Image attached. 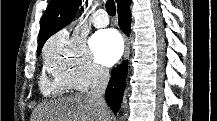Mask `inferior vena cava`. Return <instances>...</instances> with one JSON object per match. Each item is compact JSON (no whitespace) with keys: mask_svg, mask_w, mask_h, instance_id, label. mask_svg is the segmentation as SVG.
<instances>
[{"mask_svg":"<svg viewBox=\"0 0 217 121\" xmlns=\"http://www.w3.org/2000/svg\"><path fill=\"white\" fill-rule=\"evenodd\" d=\"M109 78L110 74L108 69L99 66L94 68L93 79L87 96L98 103L101 111H103L106 106L104 93L109 82Z\"/></svg>","mask_w":217,"mask_h":121,"instance_id":"obj_1","label":"inferior vena cava"}]
</instances>
